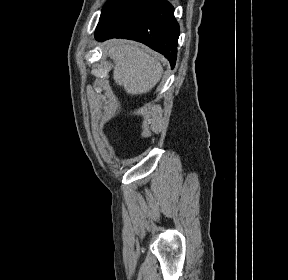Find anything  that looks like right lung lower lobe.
<instances>
[{"mask_svg": "<svg viewBox=\"0 0 288 280\" xmlns=\"http://www.w3.org/2000/svg\"><path fill=\"white\" fill-rule=\"evenodd\" d=\"M179 25L166 0H124L100 17L95 38H124L142 42L163 54L174 68Z\"/></svg>", "mask_w": 288, "mask_h": 280, "instance_id": "obj_1", "label": "right lung lower lobe"}]
</instances>
